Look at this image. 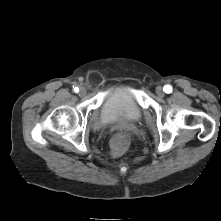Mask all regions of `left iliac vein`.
<instances>
[{
  "label": "left iliac vein",
  "instance_id": "obj_1",
  "mask_svg": "<svg viewBox=\"0 0 221 221\" xmlns=\"http://www.w3.org/2000/svg\"><path fill=\"white\" fill-rule=\"evenodd\" d=\"M156 94L159 96V97H164L165 93H164V90L161 86H158L156 88Z\"/></svg>",
  "mask_w": 221,
  "mask_h": 221
}]
</instances>
